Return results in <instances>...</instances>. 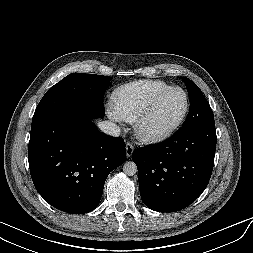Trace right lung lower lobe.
Wrapping results in <instances>:
<instances>
[{
  "mask_svg": "<svg viewBox=\"0 0 253 253\" xmlns=\"http://www.w3.org/2000/svg\"><path fill=\"white\" fill-rule=\"evenodd\" d=\"M125 157L124 140L99 132L89 118L66 116L30 132L28 161L34 186L46 202L64 212L95 209L107 176Z\"/></svg>",
  "mask_w": 253,
  "mask_h": 253,
  "instance_id": "98d812e1",
  "label": "right lung lower lobe"
}]
</instances>
